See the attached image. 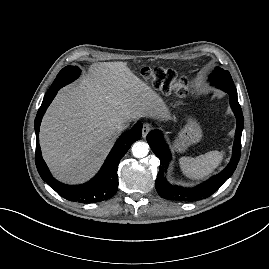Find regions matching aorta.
<instances>
[{"label": "aorta", "mask_w": 269, "mask_h": 269, "mask_svg": "<svg viewBox=\"0 0 269 269\" xmlns=\"http://www.w3.org/2000/svg\"><path fill=\"white\" fill-rule=\"evenodd\" d=\"M132 154L136 158H143L149 152V145L146 142L137 141L132 145Z\"/></svg>", "instance_id": "1"}]
</instances>
